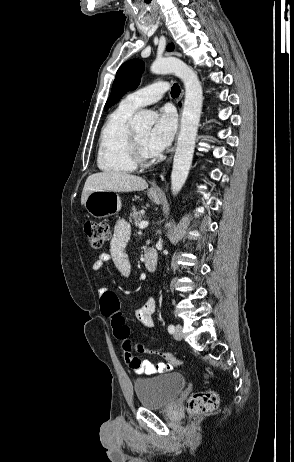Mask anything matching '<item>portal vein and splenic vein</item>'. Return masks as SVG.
Segmentation results:
<instances>
[{
    "mask_svg": "<svg viewBox=\"0 0 294 462\" xmlns=\"http://www.w3.org/2000/svg\"><path fill=\"white\" fill-rule=\"evenodd\" d=\"M149 222L148 221H141L139 223V228L140 229H143V228H146L148 226Z\"/></svg>",
    "mask_w": 294,
    "mask_h": 462,
    "instance_id": "1",
    "label": "portal vein and splenic vein"
}]
</instances>
